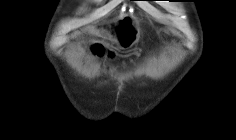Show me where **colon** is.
Returning <instances> with one entry per match:
<instances>
[{"instance_id": "1", "label": "colon", "mask_w": 236, "mask_h": 140, "mask_svg": "<svg viewBox=\"0 0 236 140\" xmlns=\"http://www.w3.org/2000/svg\"><path fill=\"white\" fill-rule=\"evenodd\" d=\"M93 49H94V51L97 53V54H101L102 52H103V49H102V47L100 46V45H95L94 47H93Z\"/></svg>"}]
</instances>
